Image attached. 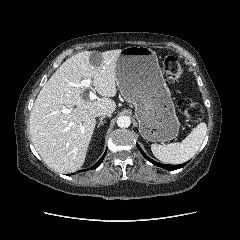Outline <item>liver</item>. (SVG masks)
I'll use <instances>...</instances> for the list:
<instances>
[{"label":"liver","instance_id":"liver-1","mask_svg":"<svg viewBox=\"0 0 240 240\" xmlns=\"http://www.w3.org/2000/svg\"><path fill=\"white\" fill-rule=\"evenodd\" d=\"M121 49L102 53L84 51L67 59L39 92L31 111L29 128L32 143L43 161L61 173L75 172L84 164L96 125V113H113L117 93L116 63ZM100 56L94 65L91 58ZM81 79H93L102 98H83Z\"/></svg>","mask_w":240,"mask_h":240}]
</instances>
